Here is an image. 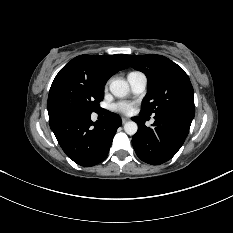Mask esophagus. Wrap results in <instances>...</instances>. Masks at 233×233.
I'll list each match as a JSON object with an SVG mask.
<instances>
[{"mask_svg":"<svg viewBox=\"0 0 233 233\" xmlns=\"http://www.w3.org/2000/svg\"><path fill=\"white\" fill-rule=\"evenodd\" d=\"M121 120H122V123L124 124V123H126L127 121H129V118L122 117Z\"/></svg>","mask_w":233,"mask_h":233,"instance_id":"1","label":"esophagus"}]
</instances>
